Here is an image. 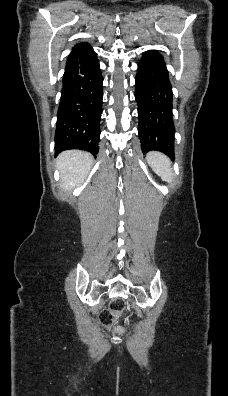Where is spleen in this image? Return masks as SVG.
Masks as SVG:
<instances>
[{
	"label": "spleen",
	"mask_w": 228,
	"mask_h": 396,
	"mask_svg": "<svg viewBox=\"0 0 228 396\" xmlns=\"http://www.w3.org/2000/svg\"><path fill=\"white\" fill-rule=\"evenodd\" d=\"M148 164L163 181H173V171L170 160L160 152H150L146 156Z\"/></svg>",
	"instance_id": "1"
}]
</instances>
